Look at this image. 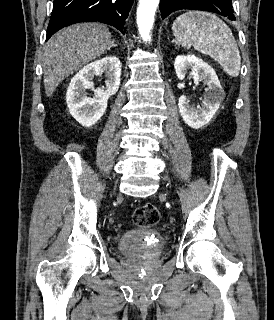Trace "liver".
Masks as SVG:
<instances>
[{"label":"liver","instance_id":"obj_1","mask_svg":"<svg viewBox=\"0 0 274 320\" xmlns=\"http://www.w3.org/2000/svg\"><path fill=\"white\" fill-rule=\"evenodd\" d=\"M111 34L105 24H73L54 34L44 46L43 72L45 94L50 98L57 86L100 58L112 46Z\"/></svg>","mask_w":274,"mask_h":320}]
</instances>
